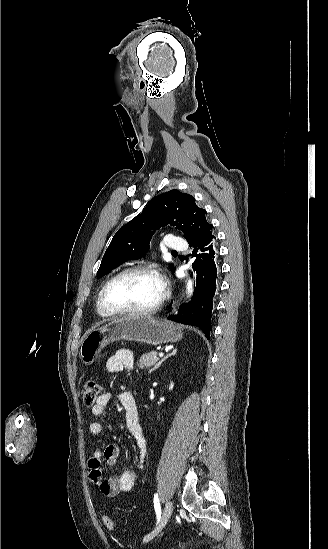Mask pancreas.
<instances>
[{
	"label": "pancreas",
	"mask_w": 328,
	"mask_h": 549,
	"mask_svg": "<svg viewBox=\"0 0 328 549\" xmlns=\"http://www.w3.org/2000/svg\"><path fill=\"white\" fill-rule=\"evenodd\" d=\"M157 361H159V359L157 357L156 351H151V353H148V355H142V357H140L138 367L139 369H150V367H153V365H155V367H158ZM151 371H155L154 367L153 369H151Z\"/></svg>",
	"instance_id": "cf45deb5"
}]
</instances>
